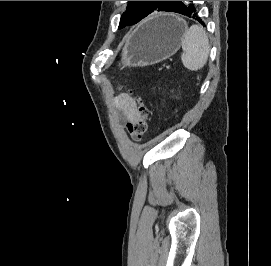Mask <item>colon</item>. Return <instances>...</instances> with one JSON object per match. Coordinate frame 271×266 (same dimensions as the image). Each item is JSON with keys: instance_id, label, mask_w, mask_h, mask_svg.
<instances>
[{"instance_id": "colon-1", "label": "colon", "mask_w": 271, "mask_h": 266, "mask_svg": "<svg viewBox=\"0 0 271 266\" xmlns=\"http://www.w3.org/2000/svg\"><path fill=\"white\" fill-rule=\"evenodd\" d=\"M148 108L138 99V117L127 124V130L131 138L140 141L148 130Z\"/></svg>"}]
</instances>
